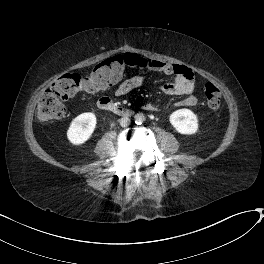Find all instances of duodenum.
Returning <instances> with one entry per match:
<instances>
[{"instance_id":"obj_1","label":"duodenum","mask_w":264,"mask_h":264,"mask_svg":"<svg viewBox=\"0 0 264 264\" xmlns=\"http://www.w3.org/2000/svg\"><path fill=\"white\" fill-rule=\"evenodd\" d=\"M97 106L102 111H108L122 117H129L133 114L131 109L117 106L109 98H101L98 101Z\"/></svg>"}]
</instances>
